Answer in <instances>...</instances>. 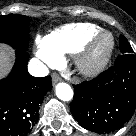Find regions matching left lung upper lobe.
<instances>
[{
  "instance_id": "obj_1",
  "label": "left lung upper lobe",
  "mask_w": 136,
  "mask_h": 136,
  "mask_svg": "<svg viewBox=\"0 0 136 136\" xmlns=\"http://www.w3.org/2000/svg\"><path fill=\"white\" fill-rule=\"evenodd\" d=\"M119 42V49L121 54L133 53V49L131 48L130 44L124 36H120Z\"/></svg>"
}]
</instances>
